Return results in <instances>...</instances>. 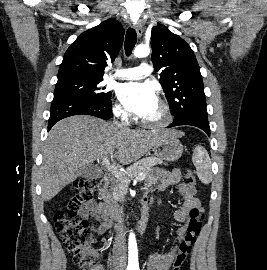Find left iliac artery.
I'll list each match as a JSON object with an SVG mask.
<instances>
[{"instance_id":"obj_1","label":"left iliac artery","mask_w":267,"mask_h":270,"mask_svg":"<svg viewBox=\"0 0 267 270\" xmlns=\"http://www.w3.org/2000/svg\"><path fill=\"white\" fill-rule=\"evenodd\" d=\"M133 270H140L138 265H134Z\"/></svg>"}]
</instances>
